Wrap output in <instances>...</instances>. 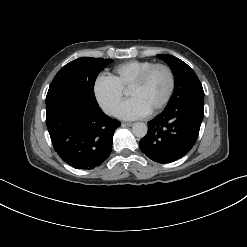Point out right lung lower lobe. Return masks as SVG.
<instances>
[{
  "mask_svg": "<svg viewBox=\"0 0 247 247\" xmlns=\"http://www.w3.org/2000/svg\"><path fill=\"white\" fill-rule=\"evenodd\" d=\"M46 124L55 151L78 169H93L109 157L114 131L121 125L98 104L68 97L46 105Z\"/></svg>",
  "mask_w": 247,
  "mask_h": 247,
  "instance_id": "98d812e1",
  "label": "right lung lower lobe"
}]
</instances>
